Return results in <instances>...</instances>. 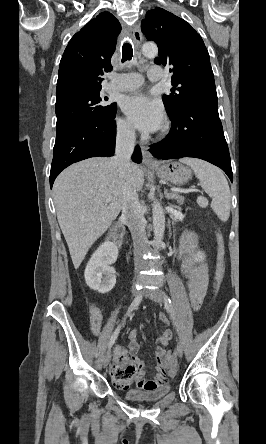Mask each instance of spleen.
<instances>
[{
    "label": "spleen",
    "instance_id": "spleen-1",
    "mask_svg": "<svg viewBox=\"0 0 266 444\" xmlns=\"http://www.w3.org/2000/svg\"><path fill=\"white\" fill-rule=\"evenodd\" d=\"M179 161L194 170L201 187L212 198V210L222 221H227L230 215L231 195L223 172L216 166L197 158H182Z\"/></svg>",
    "mask_w": 266,
    "mask_h": 444
}]
</instances>
